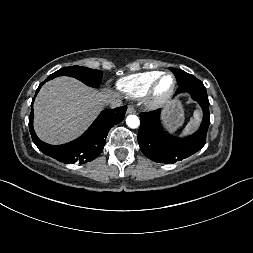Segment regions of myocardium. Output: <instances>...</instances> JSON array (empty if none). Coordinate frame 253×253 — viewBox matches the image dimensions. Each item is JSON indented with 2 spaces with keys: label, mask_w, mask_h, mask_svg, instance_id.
<instances>
[{
  "label": "myocardium",
  "mask_w": 253,
  "mask_h": 253,
  "mask_svg": "<svg viewBox=\"0 0 253 253\" xmlns=\"http://www.w3.org/2000/svg\"><path fill=\"white\" fill-rule=\"evenodd\" d=\"M169 76L172 78V86L171 88L164 94H158L157 89L161 82V80L165 77ZM177 87V79L176 77L170 72H162L159 76H157L154 81L151 83L150 87L148 88L147 92L145 93L144 103L147 108L149 109H158L164 106L175 93Z\"/></svg>",
  "instance_id": "obj_1"
}]
</instances>
